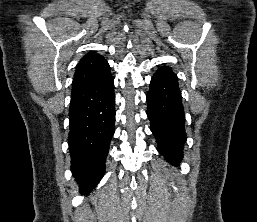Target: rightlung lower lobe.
Masks as SVG:
<instances>
[{"label":"right lung lower lobe","mask_w":257,"mask_h":222,"mask_svg":"<svg viewBox=\"0 0 257 222\" xmlns=\"http://www.w3.org/2000/svg\"><path fill=\"white\" fill-rule=\"evenodd\" d=\"M114 81L111 73L97 83L72 93L68 136L71 170L87 194L105 171L115 123Z\"/></svg>","instance_id":"obj_1"}]
</instances>
